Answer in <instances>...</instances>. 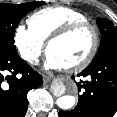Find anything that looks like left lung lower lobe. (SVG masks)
Segmentation results:
<instances>
[{"label": "left lung lower lobe", "instance_id": "obj_1", "mask_svg": "<svg viewBox=\"0 0 117 117\" xmlns=\"http://www.w3.org/2000/svg\"><path fill=\"white\" fill-rule=\"evenodd\" d=\"M78 76L90 81L77 83L83 88L74 110L60 111L59 117H113L117 111V47L90 64Z\"/></svg>", "mask_w": 117, "mask_h": 117}]
</instances>
